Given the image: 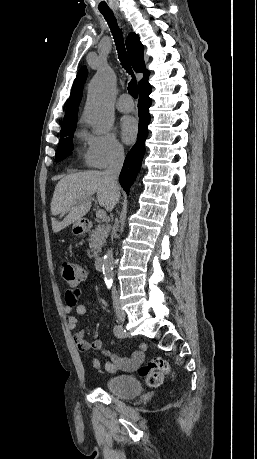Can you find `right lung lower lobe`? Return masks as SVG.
<instances>
[{
	"mask_svg": "<svg viewBox=\"0 0 257 459\" xmlns=\"http://www.w3.org/2000/svg\"><path fill=\"white\" fill-rule=\"evenodd\" d=\"M151 92V86L148 82L142 84L139 87V129L137 142L127 154L122 171L119 176V182L123 189L129 194L130 186L134 182L137 173L140 170L141 162L145 153V140L148 135V124L150 122L149 107L151 105V99L149 94Z\"/></svg>",
	"mask_w": 257,
	"mask_h": 459,
	"instance_id": "1",
	"label": "right lung lower lobe"
}]
</instances>
